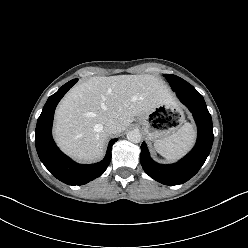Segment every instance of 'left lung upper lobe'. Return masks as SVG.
Listing matches in <instances>:
<instances>
[{
    "label": "left lung upper lobe",
    "instance_id": "left-lung-upper-lobe-1",
    "mask_svg": "<svg viewBox=\"0 0 248 248\" xmlns=\"http://www.w3.org/2000/svg\"><path fill=\"white\" fill-rule=\"evenodd\" d=\"M169 82L170 86L175 92H191V91H196L195 88L183 80L180 77H177L176 75H169L165 74L164 75Z\"/></svg>",
    "mask_w": 248,
    "mask_h": 248
}]
</instances>
